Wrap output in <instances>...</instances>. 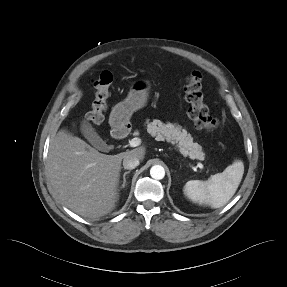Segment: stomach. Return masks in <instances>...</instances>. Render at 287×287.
Returning <instances> with one entry per match:
<instances>
[{
	"instance_id": "obj_1",
	"label": "stomach",
	"mask_w": 287,
	"mask_h": 287,
	"mask_svg": "<svg viewBox=\"0 0 287 287\" xmlns=\"http://www.w3.org/2000/svg\"><path fill=\"white\" fill-rule=\"evenodd\" d=\"M150 89L149 81H135L131 85L126 99L114 106L109 117L113 136L119 135L122 130L126 129L132 114L146 105Z\"/></svg>"
}]
</instances>
